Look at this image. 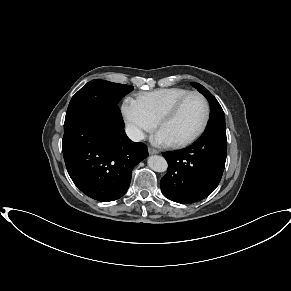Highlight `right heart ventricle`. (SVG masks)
Returning a JSON list of instances; mask_svg holds the SVG:
<instances>
[{
  "mask_svg": "<svg viewBox=\"0 0 291 291\" xmlns=\"http://www.w3.org/2000/svg\"><path fill=\"white\" fill-rule=\"evenodd\" d=\"M189 92L183 88H163L142 93L138 100L148 115L157 122L172 105Z\"/></svg>",
  "mask_w": 291,
  "mask_h": 291,
  "instance_id": "e07e8e85",
  "label": "right heart ventricle"
}]
</instances>
